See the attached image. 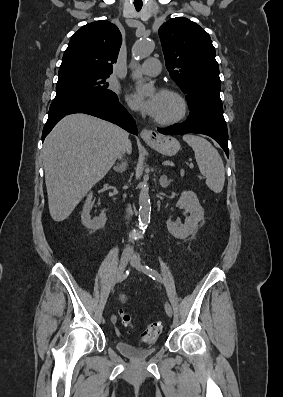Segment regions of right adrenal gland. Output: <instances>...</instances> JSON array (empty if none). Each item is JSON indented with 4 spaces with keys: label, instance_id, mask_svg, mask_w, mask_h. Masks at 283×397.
<instances>
[{
    "label": "right adrenal gland",
    "instance_id": "obj_1",
    "mask_svg": "<svg viewBox=\"0 0 283 397\" xmlns=\"http://www.w3.org/2000/svg\"><path fill=\"white\" fill-rule=\"evenodd\" d=\"M127 163L123 162L121 165H117L113 167V170L119 173H122L126 168Z\"/></svg>",
    "mask_w": 283,
    "mask_h": 397
}]
</instances>
